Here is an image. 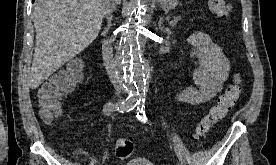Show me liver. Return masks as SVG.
Instances as JSON below:
<instances>
[{
    "mask_svg": "<svg viewBox=\"0 0 276 165\" xmlns=\"http://www.w3.org/2000/svg\"><path fill=\"white\" fill-rule=\"evenodd\" d=\"M105 1H35L36 42L29 77L31 89L38 88L96 39L104 17Z\"/></svg>",
    "mask_w": 276,
    "mask_h": 165,
    "instance_id": "obj_1",
    "label": "liver"
}]
</instances>
